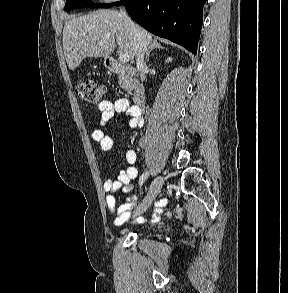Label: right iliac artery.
Instances as JSON below:
<instances>
[{
  "label": "right iliac artery",
  "mask_w": 288,
  "mask_h": 293,
  "mask_svg": "<svg viewBox=\"0 0 288 293\" xmlns=\"http://www.w3.org/2000/svg\"><path fill=\"white\" fill-rule=\"evenodd\" d=\"M140 145L142 146V143H140ZM147 177H148V173H147V172H146V173H143V174L141 175V177H140V179H139V184H140V186L143 185V183L145 182V180L147 179Z\"/></svg>",
  "instance_id": "1"
}]
</instances>
